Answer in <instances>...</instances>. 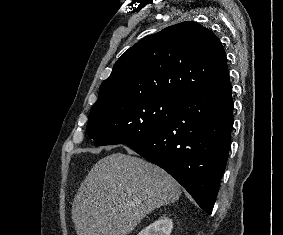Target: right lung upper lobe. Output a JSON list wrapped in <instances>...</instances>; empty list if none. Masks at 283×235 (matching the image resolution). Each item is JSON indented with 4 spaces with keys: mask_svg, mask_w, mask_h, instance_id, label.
<instances>
[{
    "mask_svg": "<svg viewBox=\"0 0 283 235\" xmlns=\"http://www.w3.org/2000/svg\"><path fill=\"white\" fill-rule=\"evenodd\" d=\"M227 79L226 54L220 40L201 24L186 21L129 48L101 84L94 106L131 97L179 100Z\"/></svg>",
    "mask_w": 283,
    "mask_h": 235,
    "instance_id": "obj_1",
    "label": "right lung upper lobe"
}]
</instances>
